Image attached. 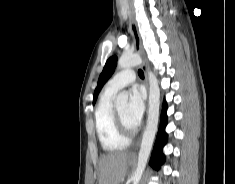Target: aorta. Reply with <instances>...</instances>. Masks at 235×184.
Wrapping results in <instances>:
<instances>
[{
  "label": "aorta",
  "mask_w": 235,
  "mask_h": 184,
  "mask_svg": "<svg viewBox=\"0 0 235 184\" xmlns=\"http://www.w3.org/2000/svg\"><path fill=\"white\" fill-rule=\"evenodd\" d=\"M141 64H143V60L138 56V54H123V56L118 60V68H132V66H141ZM148 82V120L138 154L137 168L131 178L133 184H139L142 178V174L145 170L152 144L154 142L155 134L157 132L159 120L160 90L157 78L153 72H148ZM128 96V92H120L116 98L115 104H117V106L128 104Z\"/></svg>",
  "instance_id": "obj_1"
}]
</instances>
